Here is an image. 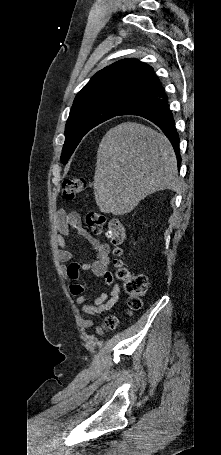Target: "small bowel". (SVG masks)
<instances>
[{"label": "small bowel", "instance_id": "small-bowel-1", "mask_svg": "<svg viewBox=\"0 0 221 455\" xmlns=\"http://www.w3.org/2000/svg\"><path fill=\"white\" fill-rule=\"evenodd\" d=\"M55 223L57 228L56 241L59 245L57 258L61 262H67L72 258L65 239L69 235L70 229H74L80 236L86 238L94 248L95 259L93 262H71L66 268L67 275L75 281L69 286V291L76 296V304L81 307L82 312L87 314H95L111 308L119 300L120 288L114 282L109 271V245L88 232L83 227L77 213L60 211L56 215ZM82 271H90L95 277L104 278L106 285L109 287V292L102 293L96 298L85 295V288L79 282V274Z\"/></svg>", "mask_w": 221, "mask_h": 455}]
</instances>
